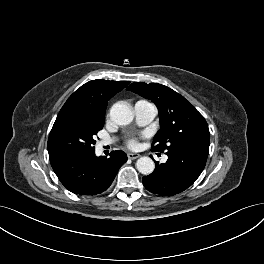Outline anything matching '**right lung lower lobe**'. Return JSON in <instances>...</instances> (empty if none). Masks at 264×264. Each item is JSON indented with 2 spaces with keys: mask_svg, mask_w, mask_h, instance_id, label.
Listing matches in <instances>:
<instances>
[{
  "mask_svg": "<svg viewBox=\"0 0 264 264\" xmlns=\"http://www.w3.org/2000/svg\"><path fill=\"white\" fill-rule=\"evenodd\" d=\"M126 161V153L120 150L112 151L109 158L97 157L94 151L61 159L51 166L61 183L72 193L96 195L109 188Z\"/></svg>",
  "mask_w": 264,
  "mask_h": 264,
  "instance_id": "right-lung-lower-lobe-1",
  "label": "right lung lower lobe"
}]
</instances>
